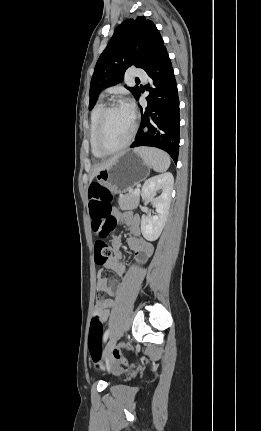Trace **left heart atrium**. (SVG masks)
Masks as SVG:
<instances>
[{
  "label": "left heart atrium",
  "instance_id": "left-heart-atrium-1",
  "mask_svg": "<svg viewBox=\"0 0 261 431\" xmlns=\"http://www.w3.org/2000/svg\"><path fill=\"white\" fill-rule=\"evenodd\" d=\"M124 106L129 110V111H133V106H132V104L130 103V102H125L124 103Z\"/></svg>",
  "mask_w": 261,
  "mask_h": 431
}]
</instances>
